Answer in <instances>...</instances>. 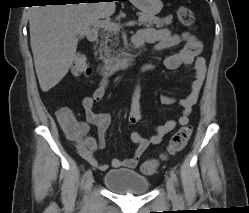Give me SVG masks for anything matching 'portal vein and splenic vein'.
<instances>
[{
    "instance_id": "obj_1",
    "label": "portal vein and splenic vein",
    "mask_w": 249,
    "mask_h": 213,
    "mask_svg": "<svg viewBox=\"0 0 249 213\" xmlns=\"http://www.w3.org/2000/svg\"><path fill=\"white\" fill-rule=\"evenodd\" d=\"M136 24L137 22L133 20L125 23L126 26H135ZM93 25L94 27L109 29L115 32H118L120 28L122 27L120 24H116V23H113L107 20H96L94 21Z\"/></svg>"
}]
</instances>
